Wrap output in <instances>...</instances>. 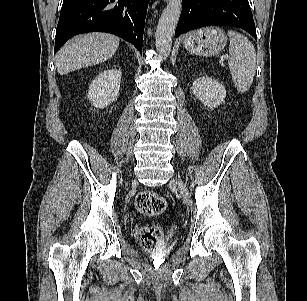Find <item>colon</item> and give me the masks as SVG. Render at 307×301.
I'll list each match as a JSON object with an SVG mask.
<instances>
[{"label":"colon","mask_w":307,"mask_h":301,"mask_svg":"<svg viewBox=\"0 0 307 301\" xmlns=\"http://www.w3.org/2000/svg\"><path fill=\"white\" fill-rule=\"evenodd\" d=\"M137 210L145 216L160 215L166 207L164 198L155 191H142L135 199ZM140 241L142 247L152 253H158L163 247V231L159 226H143L140 229Z\"/></svg>","instance_id":"5ec220e1"}]
</instances>
